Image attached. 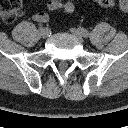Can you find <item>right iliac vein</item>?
I'll use <instances>...</instances> for the list:
<instances>
[{"label": "right iliac vein", "mask_w": 128, "mask_h": 128, "mask_svg": "<svg viewBox=\"0 0 128 128\" xmlns=\"http://www.w3.org/2000/svg\"><path fill=\"white\" fill-rule=\"evenodd\" d=\"M39 34L41 35L42 38H47L50 34V31L46 28H42L39 30Z\"/></svg>", "instance_id": "right-iliac-vein-1"}]
</instances>
